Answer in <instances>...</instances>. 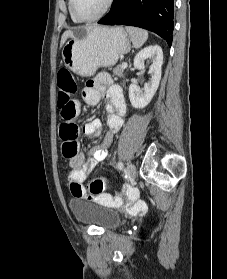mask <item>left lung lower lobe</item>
Listing matches in <instances>:
<instances>
[{
    "label": "left lung lower lobe",
    "instance_id": "left-lung-lower-lobe-1",
    "mask_svg": "<svg viewBox=\"0 0 227 279\" xmlns=\"http://www.w3.org/2000/svg\"><path fill=\"white\" fill-rule=\"evenodd\" d=\"M174 0H114L110 12L98 23L131 25L155 32L172 44Z\"/></svg>",
    "mask_w": 227,
    "mask_h": 279
}]
</instances>
